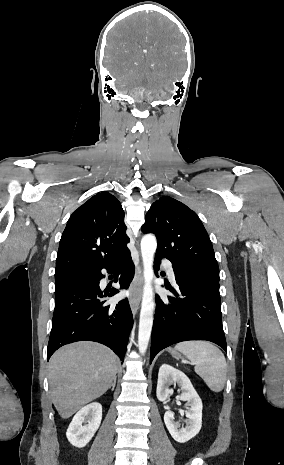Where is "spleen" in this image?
Segmentation results:
<instances>
[{
	"mask_svg": "<svg viewBox=\"0 0 284 465\" xmlns=\"http://www.w3.org/2000/svg\"><path fill=\"white\" fill-rule=\"evenodd\" d=\"M175 351H180L189 361L196 363L195 373L205 381L211 391L220 393L224 389L227 363L220 349L207 341H185L178 343Z\"/></svg>",
	"mask_w": 284,
	"mask_h": 465,
	"instance_id": "1",
	"label": "spleen"
}]
</instances>
